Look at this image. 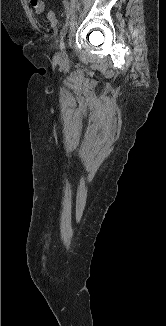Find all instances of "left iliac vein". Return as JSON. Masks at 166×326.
Listing matches in <instances>:
<instances>
[{
	"mask_svg": "<svg viewBox=\"0 0 166 326\" xmlns=\"http://www.w3.org/2000/svg\"><path fill=\"white\" fill-rule=\"evenodd\" d=\"M60 56H62V57L66 56V51H65L64 45L60 46Z\"/></svg>",
	"mask_w": 166,
	"mask_h": 326,
	"instance_id": "left-iliac-vein-1",
	"label": "left iliac vein"
}]
</instances>
